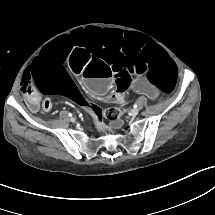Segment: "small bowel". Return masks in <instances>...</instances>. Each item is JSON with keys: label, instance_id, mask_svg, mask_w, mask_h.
Instances as JSON below:
<instances>
[{"label": "small bowel", "instance_id": "1", "mask_svg": "<svg viewBox=\"0 0 215 215\" xmlns=\"http://www.w3.org/2000/svg\"><path fill=\"white\" fill-rule=\"evenodd\" d=\"M111 98L117 103H122L124 101V94L121 93L120 91H114L113 94L111 95ZM28 105L32 111L34 112L37 111L39 108V98L37 96L30 97L28 99Z\"/></svg>", "mask_w": 215, "mask_h": 215}]
</instances>
